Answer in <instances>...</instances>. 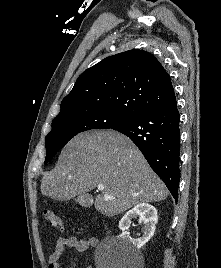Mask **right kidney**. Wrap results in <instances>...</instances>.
<instances>
[{
    "mask_svg": "<svg viewBox=\"0 0 221 268\" xmlns=\"http://www.w3.org/2000/svg\"><path fill=\"white\" fill-rule=\"evenodd\" d=\"M136 217H139V222L143 223V236L135 240L128 236V229L131 219ZM157 221L158 215L156 208L148 203H140L128 211L120 220L119 229L122 231V234L119 236V239L129 242L135 248L140 249L154 235Z\"/></svg>",
    "mask_w": 221,
    "mask_h": 268,
    "instance_id": "1",
    "label": "right kidney"
}]
</instances>
